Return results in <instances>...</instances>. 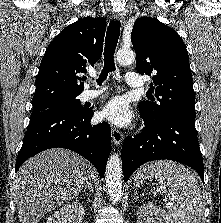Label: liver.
<instances>
[{"label": "liver", "mask_w": 221, "mask_h": 223, "mask_svg": "<svg viewBox=\"0 0 221 223\" xmlns=\"http://www.w3.org/2000/svg\"><path fill=\"white\" fill-rule=\"evenodd\" d=\"M88 168L83 157L60 148L28 159L13 184L20 223H38L46 213L74 199L90 178Z\"/></svg>", "instance_id": "obj_1"}]
</instances>
